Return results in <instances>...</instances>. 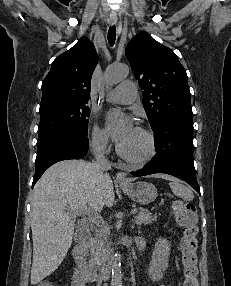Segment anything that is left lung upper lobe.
<instances>
[{"mask_svg": "<svg viewBox=\"0 0 231 286\" xmlns=\"http://www.w3.org/2000/svg\"><path fill=\"white\" fill-rule=\"evenodd\" d=\"M125 53L144 90L142 102L153 130L170 117L192 118L187 74L171 49L140 32Z\"/></svg>", "mask_w": 231, "mask_h": 286, "instance_id": "5c2ea615", "label": "left lung upper lobe"}]
</instances>
